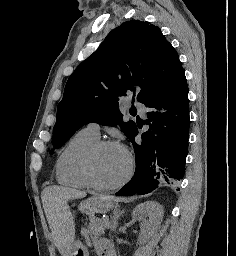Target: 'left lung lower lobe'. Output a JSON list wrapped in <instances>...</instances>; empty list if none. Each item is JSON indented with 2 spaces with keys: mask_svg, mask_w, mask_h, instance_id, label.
Wrapping results in <instances>:
<instances>
[{
  "mask_svg": "<svg viewBox=\"0 0 236 256\" xmlns=\"http://www.w3.org/2000/svg\"><path fill=\"white\" fill-rule=\"evenodd\" d=\"M144 105L150 109L143 124L150 128L133 143L136 170L132 179L115 195H143L166 185H174L184 176L189 138L188 85L183 68L151 95ZM142 127V125H138Z\"/></svg>",
  "mask_w": 236,
  "mask_h": 256,
  "instance_id": "obj_1",
  "label": "left lung lower lobe"
}]
</instances>
